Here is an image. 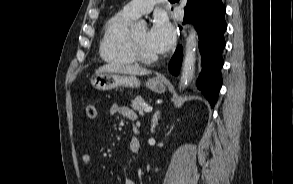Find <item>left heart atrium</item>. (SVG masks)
<instances>
[{
    "label": "left heart atrium",
    "instance_id": "1",
    "mask_svg": "<svg viewBox=\"0 0 293 184\" xmlns=\"http://www.w3.org/2000/svg\"><path fill=\"white\" fill-rule=\"evenodd\" d=\"M174 39V28L163 17L156 18L151 28L147 31V43L156 54L166 52L173 44Z\"/></svg>",
    "mask_w": 293,
    "mask_h": 184
}]
</instances>
